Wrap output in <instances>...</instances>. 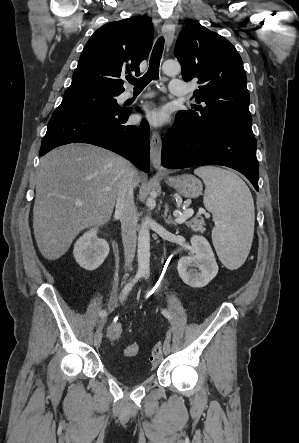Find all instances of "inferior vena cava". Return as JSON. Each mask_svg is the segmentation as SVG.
Listing matches in <instances>:
<instances>
[{"instance_id": "obj_1", "label": "inferior vena cava", "mask_w": 299, "mask_h": 443, "mask_svg": "<svg viewBox=\"0 0 299 443\" xmlns=\"http://www.w3.org/2000/svg\"><path fill=\"white\" fill-rule=\"evenodd\" d=\"M134 170H128L119 185L116 198V212L120 216L125 267H130L136 251L137 216L133 190L136 186Z\"/></svg>"}]
</instances>
